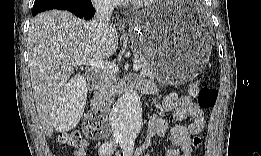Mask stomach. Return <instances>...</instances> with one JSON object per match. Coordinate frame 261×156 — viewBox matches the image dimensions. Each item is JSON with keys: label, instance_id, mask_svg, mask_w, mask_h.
Returning a JSON list of instances; mask_svg holds the SVG:
<instances>
[{"label": "stomach", "instance_id": "obj_1", "mask_svg": "<svg viewBox=\"0 0 261 156\" xmlns=\"http://www.w3.org/2000/svg\"><path fill=\"white\" fill-rule=\"evenodd\" d=\"M185 2H154L136 11L129 23L133 47L149 60L163 82L193 79L209 59L208 29L186 16Z\"/></svg>", "mask_w": 261, "mask_h": 156}]
</instances>
